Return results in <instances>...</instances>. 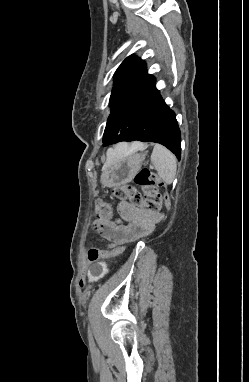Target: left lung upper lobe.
Returning a JSON list of instances; mask_svg holds the SVG:
<instances>
[{
  "instance_id": "left-lung-upper-lobe-1",
  "label": "left lung upper lobe",
  "mask_w": 249,
  "mask_h": 382,
  "mask_svg": "<svg viewBox=\"0 0 249 382\" xmlns=\"http://www.w3.org/2000/svg\"><path fill=\"white\" fill-rule=\"evenodd\" d=\"M114 79L103 146L110 145L120 133L132 127L159 93L144 61L133 55L118 67Z\"/></svg>"
}]
</instances>
